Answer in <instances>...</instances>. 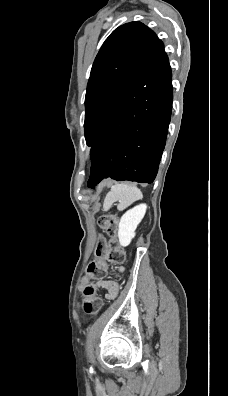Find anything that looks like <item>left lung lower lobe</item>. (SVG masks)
Wrapping results in <instances>:
<instances>
[{
    "label": "left lung lower lobe",
    "mask_w": 228,
    "mask_h": 396,
    "mask_svg": "<svg viewBox=\"0 0 228 396\" xmlns=\"http://www.w3.org/2000/svg\"><path fill=\"white\" fill-rule=\"evenodd\" d=\"M171 68L158 41L144 69L103 124L91 156L88 187L105 178L152 183L172 110Z\"/></svg>",
    "instance_id": "left-lung-lower-lobe-1"
}]
</instances>
